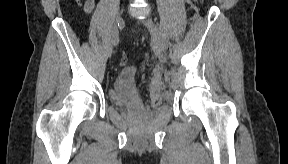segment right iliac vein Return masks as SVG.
Segmentation results:
<instances>
[{"label": "right iliac vein", "mask_w": 288, "mask_h": 164, "mask_svg": "<svg viewBox=\"0 0 288 164\" xmlns=\"http://www.w3.org/2000/svg\"><path fill=\"white\" fill-rule=\"evenodd\" d=\"M123 19L121 17H118L116 24L113 27V37H112V42H111V46L109 48V55H111L112 51H113V42L116 38H118L119 35V29H121L123 27Z\"/></svg>", "instance_id": "1"}]
</instances>
